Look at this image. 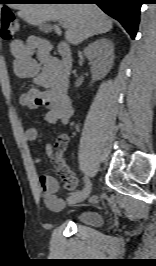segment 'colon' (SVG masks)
I'll return each instance as SVG.
<instances>
[{
  "mask_svg": "<svg viewBox=\"0 0 156 266\" xmlns=\"http://www.w3.org/2000/svg\"><path fill=\"white\" fill-rule=\"evenodd\" d=\"M19 33V22L15 14L9 10L4 9L1 13V36L4 40H12ZM65 141L64 138L60 140V145Z\"/></svg>",
  "mask_w": 156,
  "mask_h": 266,
  "instance_id": "obj_1",
  "label": "colon"
}]
</instances>
